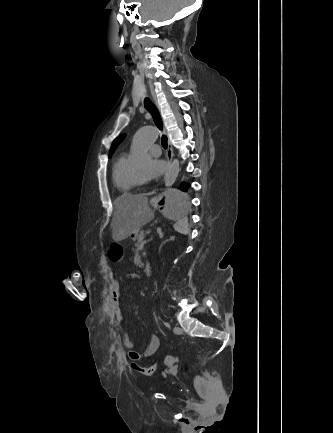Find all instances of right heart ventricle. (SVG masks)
I'll return each instance as SVG.
<instances>
[{
  "label": "right heart ventricle",
  "instance_id": "1",
  "mask_svg": "<svg viewBox=\"0 0 333 433\" xmlns=\"http://www.w3.org/2000/svg\"><path fill=\"white\" fill-rule=\"evenodd\" d=\"M132 165L126 153H120L116 158L112 168V178L114 185L120 193L126 194L134 188L131 178Z\"/></svg>",
  "mask_w": 333,
  "mask_h": 433
}]
</instances>
